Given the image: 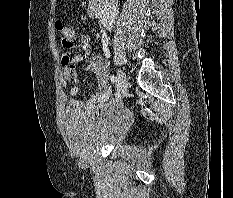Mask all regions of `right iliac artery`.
<instances>
[{
	"label": "right iliac artery",
	"instance_id": "82829eb1",
	"mask_svg": "<svg viewBox=\"0 0 233 198\" xmlns=\"http://www.w3.org/2000/svg\"><path fill=\"white\" fill-rule=\"evenodd\" d=\"M110 81H111L112 83H118V78H117L116 76H114V75H111V76H110Z\"/></svg>",
	"mask_w": 233,
	"mask_h": 198
}]
</instances>
